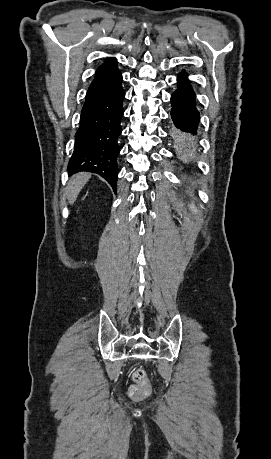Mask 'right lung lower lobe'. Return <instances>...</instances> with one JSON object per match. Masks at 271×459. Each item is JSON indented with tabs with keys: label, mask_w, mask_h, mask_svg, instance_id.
Returning <instances> with one entry per match:
<instances>
[{
	"label": "right lung lower lobe",
	"mask_w": 271,
	"mask_h": 459,
	"mask_svg": "<svg viewBox=\"0 0 271 459\" xmlns=\"http://www.w3.org/2000/svg\"><path fill=\"white\" fill-rule=\"evenodd\" d=\"M122 75L119 70L95 78L85 98L75 146L68 164L70 174L80 171L101 175L116 191L118 137L124 114Z\"/></svg>",
	"instance_id": "right-lung-lower-lobe-1"
}]
</instances>
